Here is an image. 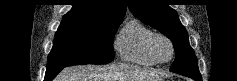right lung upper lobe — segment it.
Here are the masks:
<instances>
[{
  "label": "right lung upper lobe",
  "instance_id": "right-lung-upper-lobe-1",
  "mask_svg": "<svg viewBox=\"0 0 237 81\" xmlns=\"http://www.w3.org/2000/svg\"><path fill=\"white\" fill-rule=\"evenodd\" d=\"M124 0H74L73 8L62 20L111 22L123 20Z\"/></svg>",
  "mask_w": 237,
  "mask_h": 81
}]
</instances>
